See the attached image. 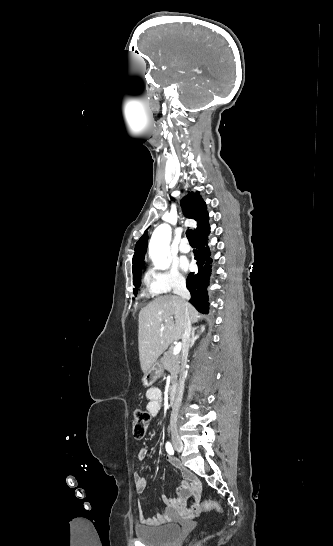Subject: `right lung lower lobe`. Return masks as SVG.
<instances>
[{
	"mask_svg": "<svg viewBox=\"0 0 333 546\" xmlns=\"http://www.w3.org/2000/svg\"><path fill=\"white\" fill-rule=\"evenodd\" d=\"M209 226L195 236L197 250L194 251V259L197 260L198 271L190 273L187 277L186 286L191 293L190 303L203 314L209 311L208 286L212 271L213 259L210 257L209 247L206 239L209 234Z\"/></svg>",
	"mask_w": 333,
	"mask_h": 546,
	"instance_id": "98d812e1",
	"label": "right lung lower lobe"
}]
</instances>
